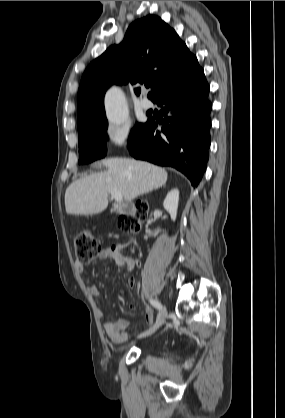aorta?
<instances>
[{
	"label": "aorta",
	"instance_id": "1",
	"mask_svg": "<svg viewBox=\"0 0 285 418\" xmlns=\"http://www.w3.org/2000/svg\"><path fill=\"white\" fill-rule=\"evenodd\" d=\"M105 109L111 125L121 126L127 121L125 97L119 88L113 87L106 93Z\"/></svg>",
	"mask_w": 285,
	"mask_h": 418
}]
</instances>
